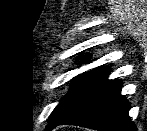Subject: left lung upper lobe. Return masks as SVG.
Returning a JSON list of instances; mask_svg holds the SVG:
<instances>
[{
  "label": "left lung upper lobe",
  "mask_w": 147,
  "mask_h": 131,
  "mask_svg": "<svg viewBox=\"0 0 147 131\" xmlns=\"http://www.w3.org/2000/svg\"><path fill=\"white\" fill-rule=\"evenodd\" d=\"M87 60V59H85ZM110 68L102 67L92 72L79 75L73 82L71 89L56 106L49 117L45 131L63 122L77 112L82 105L108 81Z\"/></svg>",
  "instance_id": "5c2ea615"
}]
</instances>
